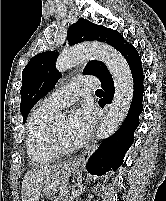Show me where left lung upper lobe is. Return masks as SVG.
Masks as SVG:
<instances>
[{
  "instance_id": "left-lung-upper-lobe-1",
  "label": "left lung upper lobe",
  "mask_w": 166,
  "mask_h": 201,
  "mask_svg": "<svg viewBox=\"0 0 166 201\" xmlns=\"http://www.w3.org/2000/svg\"><path fill=\"white\" fill-rule=\"evenodd\" d=\"M67 40L69 45L83 41L105 42L121 54L129 45L123 36L116 30L107 29L101 25L80 18L68 29ZM59 53L57 51H46L34 56L22 72L21 103L20 112L23 116V123L33 106L44 97L60 78V73L55 68V61ZM84 75H95L103 78L109 71L104 63L90 61L83 70Z\"/></svg>"
}]
</instances>
